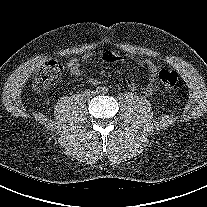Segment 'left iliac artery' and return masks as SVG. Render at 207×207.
Returning <instances> with one entry per match:
<instances>
[{
  "label": "left iliac artery",
  "mask_w": 207,
  "mask_h": 207,
  "mask_svg": "<svg viewBox=\"0 0 207 207\" xmlns=\"http://www.w3.org/2000/svg\"><path fill=\"white\" fill-rule=\"evenodd\" d=\"M104 91H106V92H107V91H108V89H104Z\"/></svg>",
  "instance_id": "44dca946"
}]
</instances>
